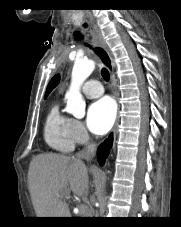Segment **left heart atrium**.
Returning <instances> with one entry per match:
<instances>
[{"mask_svg": "<svg viewBox=\"0 0 181 227\" xmlns=\"http://www.w3.org/2000/svg\"><path fill=\"white\" fill-rule=\"evenodd\" d=\"M116 108L110 98H101L92 103L87 112V126L97 135L105 134L112 127Z\"/></svg>", "mask_w": 181, "mask_h": 227, "instance_id": "obj_1", "label": "left heart atrium"}]
</instances>
